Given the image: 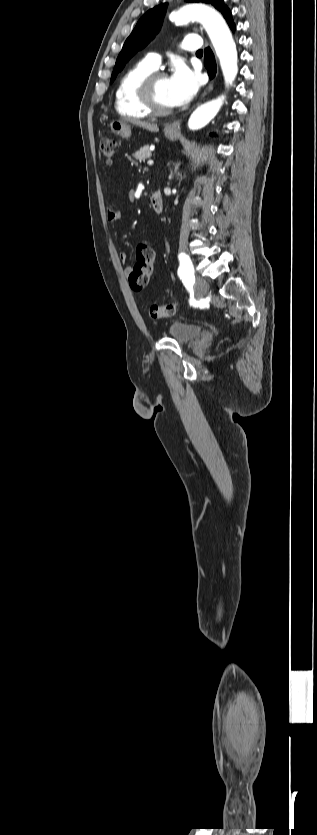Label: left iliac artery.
<instances>
[{"instance_id":"left-iliac-artery-1","label":"left iliac artery","mask_w":317,"mask_h":835,"mask_svg":"<svg viewBox=\"0 0 317 835\" xmlns=\"http://www.w3.org/2000/svg\"><path fill=\"white\" fill-rule=\"evenodd\" d=\"M178 258L180 262L178 268V276L187 288L191 287L195 283L194 268L192 262L189 256L183 252L178 255Z\"/></svg>"}]
</instances>
